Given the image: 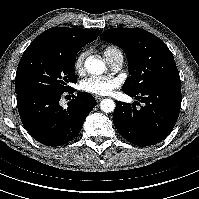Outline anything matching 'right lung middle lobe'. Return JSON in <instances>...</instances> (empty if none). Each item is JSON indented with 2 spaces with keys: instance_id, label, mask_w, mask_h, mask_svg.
Masks as SVG:
<instances>
[{
  "instance_id": "obj_1",
  "label": "right lung middle lobe",
  "mask_w": 199,
  "mask_h": 199,
  "mask_svg": "<svg viewBox=\"0 0 199 199\" xmlns=\"http://www.w3.org/2000/svg\"><path fill=\"white\" fill-rule=\"evenodd\" d=\"M80 49L65 52L44 44H30L19 62L15 92L64 93L76 83L75 59Z\"/></svg>"
}]
</instances>
